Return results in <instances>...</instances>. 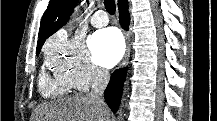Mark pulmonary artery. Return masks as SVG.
<instances>
[{"label":"pulmonary artery","mask_w":217,"mask_h":121,"mask_svg":"<svg viewBox=\"0 0 217 121\" xmlns=\"http://www.w3.org/2000/svg\"><path fill=\"white\" fill-rule=\"evenodd\" d=\"M108 22L109 18L103 10L96 11L91 18V23L94 27H103L107 25Z\"/></svg>","instance_id":"obj_1"}]
</instances>
